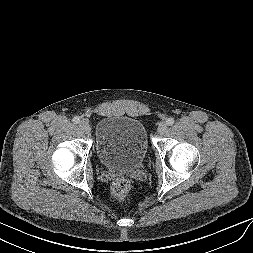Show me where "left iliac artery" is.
I'll return each mask as SVG.
<instances>
[{
  "instance_id": "left-iliac-artery-1",
  "label": "left iliac artery",
  "mask_w": 253,
  "mask_h": 253,
  "mask_svg": "<svg viewBox=\"0 0 253 253\" xmlns=\"http://www.w3.org/2000/svg\"><path fill=\"white\" fill-rule=\"evenodd\" d=\"M174 119L173 118H168L166 123L169 125V126H172L174 124Z\"/></svg>"
}]
</instances>
